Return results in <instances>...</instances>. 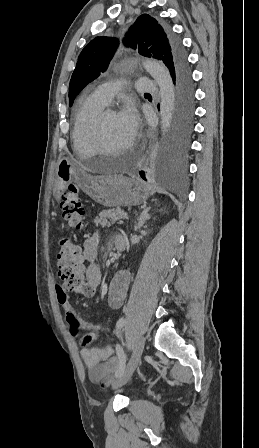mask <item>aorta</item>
I'll use <instances>...</instances> for the list:
<instances>
[{
	"instance_id": "obj_1",
	"label": "aorta",
	"mask_w": 259,
	"mask_h": 448,
	"mask_svg": "<svg viewBox=\"0 0 259 448\" xmlns=\"http://www.w3.org/2000/svg\"><path fill=\"white\" fill-rule=\"evenodd\" d=\"M143 65L159 86L161 129L166 133L171 125L175 108V88L172 78L167 68L159 61L147 59Z\"/></svg>"
}]
</instances>
